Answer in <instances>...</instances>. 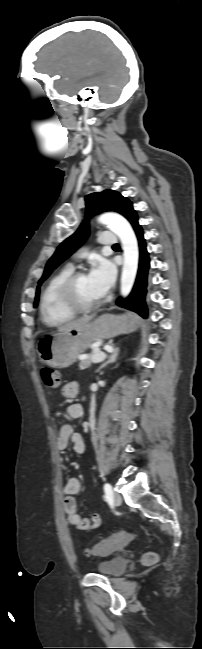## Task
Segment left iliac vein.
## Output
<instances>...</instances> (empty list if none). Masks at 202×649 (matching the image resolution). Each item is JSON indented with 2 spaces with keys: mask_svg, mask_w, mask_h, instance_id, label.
<instances>
[{
  "mask_svg": "<svg viewBox=\"0 0 202 649\" xmlns=\"http://www.w3.org/2000/svg\"><path fill=\"white\" fill-rule=\"evenodd\" d=\"M112 499H113V502H114L116 505H118V506L121 505V503H122V497H121V495H120L119 493L114 492V493H113V496H112Z\"/></svg>",
  "mask_w": 202,
  "mask_h": 649,
  "instance_id": "1",
  "label": "left iliac vein"
}]
</instances>
